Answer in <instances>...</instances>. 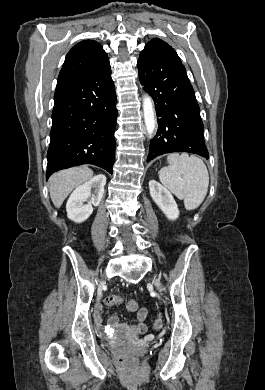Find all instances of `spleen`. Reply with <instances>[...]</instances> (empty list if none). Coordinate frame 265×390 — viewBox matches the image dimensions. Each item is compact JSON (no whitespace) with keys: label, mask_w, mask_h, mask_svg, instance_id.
Segmentation results:
<instances>
[{"label":"spleen","mask_w":265,"mask_h":390,"mask_svg":"<svg viewBox=\"0 0 265 390\" xmlns=\"http://www.w3.org/2000/svg\"><path fill=\"white\" fill-rule=\"evenodd\" d=\"M169 166L159 171L161 183L178 199L184 200L186 210H194L205 199L209 186V174L204 162L188 154H170Z\"/></svg>","instance_id":"1"}]
</instances>
